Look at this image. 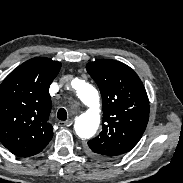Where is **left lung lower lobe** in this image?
Instances as JSON below:
<instances>
[{
	"instance_id": "1",
	"label": "left lung lower lobe",
	"mask_w": 183,
	"mask_h": 183,
	"mask_svg": "<svg viewBox=\"0 0 183 183\" xmlns=\"http://www.w3.org/2000/svg\"><path fill=\"white\" fill-rule=\"evenodd\" d=\"M90 155H91L92 157L96 158V159H99V160H106V159H104L103 157H100V156H97V155H94V154H91V153H90Z\"/></svg>"
}]
</instances>
